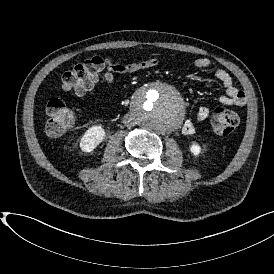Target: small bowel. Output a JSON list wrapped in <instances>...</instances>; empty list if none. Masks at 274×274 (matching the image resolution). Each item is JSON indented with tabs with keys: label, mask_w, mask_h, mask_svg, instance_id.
Masks as SVG:
<instances>
[{
	"label": "small bowel",
	"mask_w": 274,
	"mask_h": 274,
	"mask_svg": "<svg viewBox=\"0 0 274 274\" xmlns=\"http://www.w3.org/2000/svg\"><path fill=\"white\" fill-rule=\"evenodd\" d=\"M159 64V59L152 57L140 62H132L126 64H117L113 67L106 68L101 73V78H94L88 85L83 87L78 86L75 88L74 93L76 96L81 97L84 93L90 90L93 86L99 88L103 82L111 89L116 87V76L124 77L129 74L136 73L141 70L150 69L156 67ZM193 66L196 69L205 70L210 68L211 61L205 57L196 58L193 61ZM215 77L221 82L224 87L225 94L218 98V103L223 106H243L246 104V93L238 88L231 77V75L224 69L217 68L214 70ZM210 114V108L202 106L198 109L195 115V119H187L182 127L184 135L190 136L196 132V123L205 121Z\"/></svg>",
	"instance_id": "obj_1"
}]
</instances>
